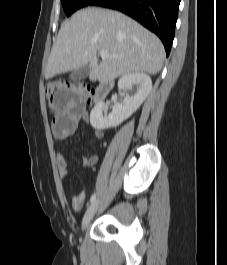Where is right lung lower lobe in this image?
Masks as SVG:
<instances>
[{"label":"right lung lower lobe","instance_id":"obj_1","mask_svg":"<svg viewBox=\"0 0 227 265\" xmlns=\"http://www.w3.org/2000/svg\"><path fill=\"white\" fill-rule=\"evenodd\" d=\"M180 0H93L89 5L119 10L154 32L167 56L175 34Z\"/></svg>","mask_w":227,"mask_h":265}]
</instances>
